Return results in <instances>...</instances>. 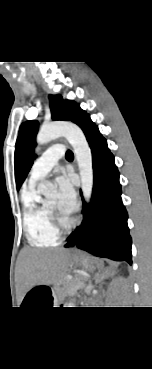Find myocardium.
Instances as JSON below:
<instances>
[{
	"mask_svg": "<svg viewBox=\"0 0 152 369\" xmlns=\"http://www.w3.org/2000/svg\"><path fill=\"white\" fill-rule=\"evenodd\" d=\"M46 207L49 211L51 222L59 233L69 232L73 228L75 224L74 219L64 221L61 215L55 209H53L47 204Z\"/></svg>",
	"mask_w": 152,
	"mask_h": 369,
	"instance_id": "obj_1",
	"label": "myocardium"
}]
</instances>
